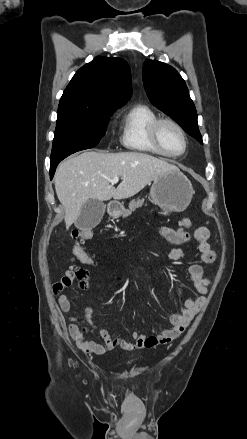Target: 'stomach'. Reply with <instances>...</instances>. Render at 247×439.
I'll return each mask as SVG.
<instances>
[{"label": "stomach", "mask_w": 247, "mask_h": 439, "mask_svg": "<svg viewBox=\"0 0 247 439\" xmlns=\"http://www.w3.org/2000/svg\"><path fill=\"white\" fill-rule=\"evenodd\" d=\"M194 190L189 179L179 170L169 171L157 177L150 189L153 202L164 214L184 211L192 200ZM123 207L118 205L111 211L113 217H118Z\"/></svg>", "instance_id": "0dacf381"}]
</instances>
